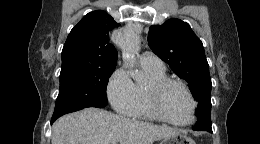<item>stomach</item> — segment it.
I'll list each match as a JSON object with an SVG mask.
<instances>
[{"instance_id":"obj_1","label":"stomach","mask_w":260,"mask_h":144,"mask_svg":"<svg viewBox=\"0 0 260 144\" xmlns=\"http://www.w3.org/2000/svg\"><path fill=\"white\" fill-rule=\"evenodd\" d=\"M161 144H195V142L183 133H178L164 138Z\"/></svg>"}]
</instances>
